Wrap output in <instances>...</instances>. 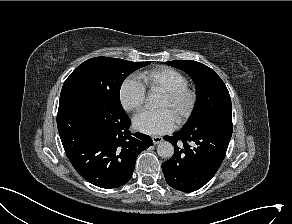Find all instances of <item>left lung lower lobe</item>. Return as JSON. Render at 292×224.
<instances>
[{"mask_svg":"<svg viewBox=\"0 0 292 224\" xmlns=\"http://www.w3.org/2000/svg\"><path fill=\"white\" fill-rule=\"evenodd\" d=\"M233 126L204 131L180 130L165 136L175 147L172 158L162 164L166 182L182 192L196 191L217 172L225 157ZM181 146V147H179Z\"/></svg>","mask_w":292,"mask_h":224,"instance_id":"left-lung-lower-lobe-1","label":"left lung lower lobe"}]
</instances>
